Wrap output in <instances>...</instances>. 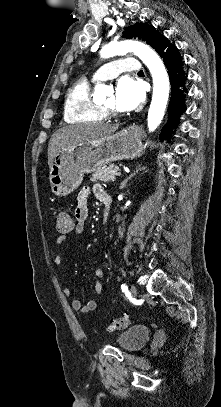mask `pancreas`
Masks as SVG:
<instances>
[{"instance_id": "obj_1", "label": "pancreas", "mask_w": 221, "mask_h": 407, "mask_svg": "<svg viewBox=\"0 0 221 407\" xmlns=\"http://www.w3.org/2000/svg\"><path fill=\"white\" fill-rule=\"evenodd\" d=\"M119 170L118 167H115L114 165H109L108 167H102L98 170H96L91 178L90 181L92 182H110L115 180V172Z\"/></svg>"}]
</instances>
